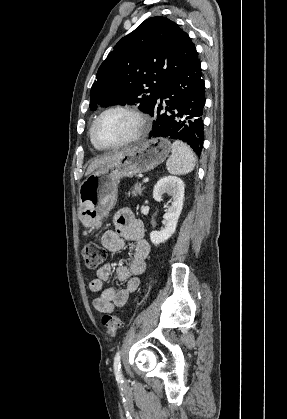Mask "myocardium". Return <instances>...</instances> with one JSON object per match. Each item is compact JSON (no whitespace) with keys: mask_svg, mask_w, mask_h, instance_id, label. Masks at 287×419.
<instances>
[{"mask_svg":"<svg viewBox=\"0 0 287 419\" xmlns=\"http://www.w3.org/2000/svg\"><path fill=\"white\" fill-rule=\"evenodd\" d=\"M113 111H124L129 113L130 115H132L138 122V129L135 132V134L130 137L129 139L116 143V144H105V143H101L98 141V139L96 138L95 135V128L97 123L100 121V119ZM148 130V121L147 118L135 107L128 105V104H116V105H112L106 109H104L103 111H101L97 117L94 119L91 127H90V137L92 142L102 148V149H115V148H120V147H124L127 145H130L136 141H138Z\"/></svg>","mask_w":287,"mask_h":419,"instance_id":"1","label":"myocardium"}]
</instances>
